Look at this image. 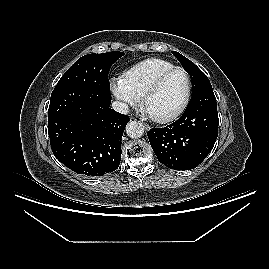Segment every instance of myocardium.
I'll use <instances>...</instances> for the list:
<instances>
[{
    "label": "myocardium",
    "instance_id": "obj_1",
    "mask_svg": "<svg viewBox=\"0 0 269 269\" xmlns=\"http://www.w3.org/2000/svg\"><path fill=\"white\" fill-rule=\"evenodd\" d=\"M176 71H182L184 72V74L186 75L187 78V91L184 97L183 102L181 103V105L174 110L173 112L164 115V116H151L150 118L157 122V123H167L170 122L174 119H176L178 116H180L185 109L187 108L190 98H191V94H192V88H193V82H192V78L191 75L189 74V72L181 66H175L171 69H168L166 71H164L163 73H161L143 92L142 94V98H141V104L142 107L145 108L146 102L148 101V99L154 94L156 93L159 88L162 86V84L164 83V81L174 72Z\"/></svg>",
    "mask_w": 269,
    "mask_h": 269
}]
</instances>
